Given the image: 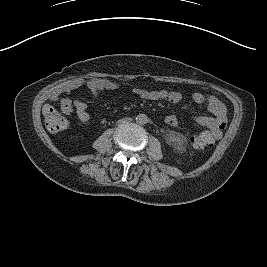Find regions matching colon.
Instances as JSON below:
<instances>
[{
	"instance_id": "colon-1",
	"label": "colon",
	"mask_w": 267,
	"mask_h": 267,
	"mask_svg": "<svg viewBox=\"0 0 267 267\" xmlns=\"http://www.w3.org/2000/svg\"><path fill=\"white\" fill-rule=\"evenodd\" d=\"M43 115L46 127L49 131L56 133L63 131L67 127L66 118L53 106L45 105L43 107ZM191 142L193 147L198 150H205L211 145L209 139L200 133L195 134L192 137Z\"/></svg>"
}]
</instances>
